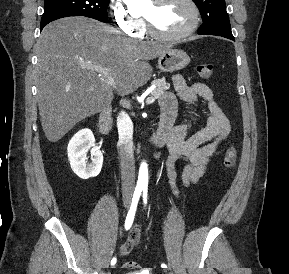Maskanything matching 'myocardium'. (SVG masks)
I'll return each mask as SVG.
<instances>
[{
    "label": "myocardium",
    "instance_id": "obj_1",
    "mask_svg": "<svg viewBox=\"0 0 289 274\" xmlns=\"http://www.w3.org/2000/svg\"><path fill=\"white\" fill-rule=\"evenodd\" d=\"M169 0H154L156 5H160ZM191 8L192 11V21L190 25L180 33L177 34H165L157 30L153 22L146 16H143L147 32L154 38L163 41H181L191 36L198 28L200 22V9L194 0H184Z\"/></svg>",
    "mask_w": 289,
    "mask_h": 274
}]
</instances>
